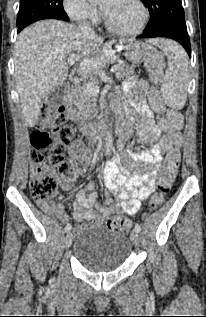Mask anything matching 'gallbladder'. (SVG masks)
Wrapping results in <instances>:
<instances>
[{"label":"gallbladder","mask_w":206,"mask_h":317,"mask_svg":"<svg viewBox=\"0 0 206 317\" xmlns=\"http://www.w3.org/2000/svg\"><path fill=\"white\" fill-rule=\"evenodd\" d=\"M66 84L59 85L52 89L46 96V102L50 107L56 108L65 100Z\"/></svg>","instance_id":"bac80fb5"}]
</instances>
